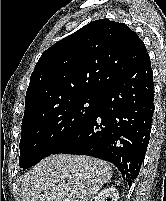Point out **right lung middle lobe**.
Listing matches in <instances>:
<instances>
[{
  "instance_id": "1",
  "label": "right lung middle lobe",
  "mask_w": 166,
  "mask_h": 201,
  "mask_svg": "<svg viewBox=\"0 0 166 201\" xmlns=\"http://www.w3.org/2000/svg\"><path fill=\"white\" fill-rule=\"evenodd\" d=\"M97 96L66 102L37 115L23 117L19 165L29 168L51 155L94 114Z\"/></svg>"
}]
</instances>
